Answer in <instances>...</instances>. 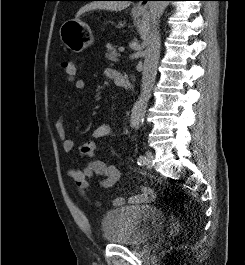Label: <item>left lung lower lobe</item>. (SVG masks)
<instances>
[{"instance_id":"1","label":"left lung lower lobe","mask_w":245,"mask_h":265,"mask_svg":"<svg viewBox=\"0 0 245 265\" xmlns=\"http://www.w3.org/2000/svg\"><path fill=\"white\" fill-rule=\"evenodd\" d=\"M128 1H139V0H128ZM149 1V0H148Z\"/></svg>"}]
</instances>
